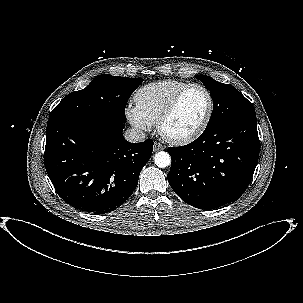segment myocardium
Wrapping results in <instances>:
<instances>
[{
	"instance_id": "f54148a6",
	"label": "myocardium",
	"mask_w": 303,
	"mask_h": 303,
	"mask_svg": "<svg viewBox=\"0 0 303 303\" xmlns=\"http://www.w3.org/2000/svg\"><path fill=\"white\" fill-rule=\"evenodd\" d=\"M192 88H199L205 93V95L207 97V101H208L207 111H206L201 123L192 132L185 134V135H181V136H171L165 132L164 126H165L166 122L175 113V111H176L178 105L180 104L182 98L184 97V95ZM213 111H214V101H213V97H212L210 91L202 84H198V83L188 84L187 86L182 88L173 97V99L170 101V103L167 105V107L161 113V115L159 116V118L156 122L157 130H158L159 134L170 143H173L176 145H185V144L191 143L204 133V131L206 130V128L209 125V122L212 118Z\"/></svg>"
}]
</instances>
